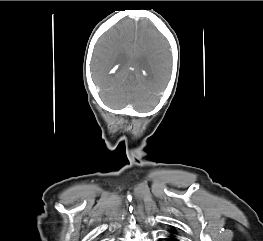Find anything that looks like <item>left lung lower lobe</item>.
<instances>
[{"label": "left lung lower lobe", "mask_w": 263, "mask_h": 241, "mask_svg": "<svg viewBox=\"0 0 263 241\" xmlns=\"http://www.w3.org/2000/svg\"><path fill=\"white\" fill-rule=\"evenodd\" d=\"M171 233H172L173 235H171L167 240H168V241H179V240L174 236V234H176L175 231H171Z\"/></svg>", "instance_id": "0a47b994"}]
</instances>
